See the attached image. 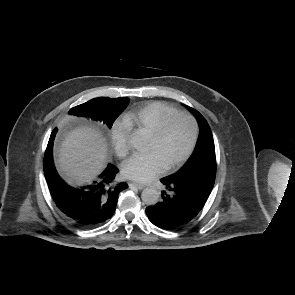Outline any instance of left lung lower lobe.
<instances>
[{"label": "left lung lower lobe", "mask_w": 295, "mask_h": 295, "mask_svg": "<svg viewBox=\"0 0 295 295\" xmlns=\"http://www.w3.org/2000/svg\"><path fill=\"white\" fill-rule=\"evenodd\" d=\"M216 171L206 168L185 176L161 179L166 190L162 201L146 208L149 220L159 228L176 229L191 221L206 203L215 182Z\"/></svg>", "instance_id": "1"}]
</instances>
